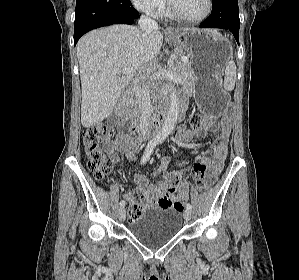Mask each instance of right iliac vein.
Segmentation results:
<instances>
[{
  "label": "right iliac vein",
  "instance_id": "63e3f726",
  "mask_svg": "<svg viewBox=\"0 0 299 280\" xmlns=\"http://www.w3.org/2000/svg\"><path fill=\"white\" fill-rule=\"evenodd\" d=\"M118 216H119L120 221H124L125 220V218H126V211H125L124 207H121L119 209Z\"/></svg>",
  "mask_w": 299,
  "mask_h": 280
}]
</instances>
